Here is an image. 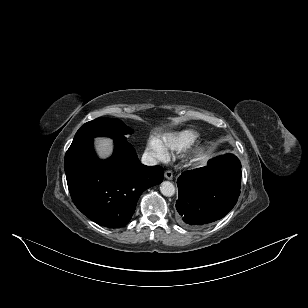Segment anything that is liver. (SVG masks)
I'll return each instance as SVG.
<instances>
[{"label":"liver","instance_id":"obj_1","mask_svg":"<svg viewBox=\"0 0 308 308\" xmlns=\"http://www.w3.org/2000/svg\"><path fill=\"white\" fill-rule=\"evenodd\" d=\"M96 152L102 159L109 157L113 151V141L109 138L95 139Z\"/></svg>","mask_w":308,"mask_h":308}]
</instances>
